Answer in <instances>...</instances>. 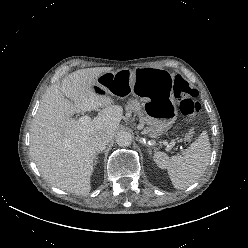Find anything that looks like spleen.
Masks as SVG:
<instances>
[{
    "label": "spleen",
    "instance_id": "1",
    "mask_svg": "<svg viewBox=\"0 0 248 248\" xmlns=\"http://www.w3.org/2000/svg\"><path fill=\"white\" fill-rule=\"evenodd\" d=\"M211 156L208 134L203 131L182 154L171 158L164 152H155L153 160L161 169H167L174 188L185 189L205 172Z\"/></svg>",
    "mask_w": 248,
    "mask_h": 248
}]
</instances>
